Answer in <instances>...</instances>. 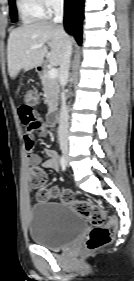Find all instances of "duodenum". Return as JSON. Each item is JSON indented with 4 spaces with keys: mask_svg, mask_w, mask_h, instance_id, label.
Masks as SVG:
<instances>
[{
    "mask_svg": "<svg viewBox=\"0 0 134 281\" xmlns=\"http://www.w3.org/2000/svg\"><path fill=\"white\" fill-rule=\"evenodd\" d=\"M39 72L40 73L42 72V68H39ZM57 122H58V113H57L56 109H52L48 115V123L50 125H56Z\"/></svg>",
    "mask_w": 134,
    "mask_h": 281,
    "instance_id": "410a0bca",
    "label": "duodenum"
}]
</instances>
